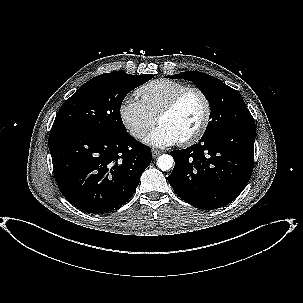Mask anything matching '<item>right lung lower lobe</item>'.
Returning a JSON list of instances; mask_svg holds the SVG:
<instances>
[{"label":"right lung lower lobe","mask_w":303,"mask_h":303,"mask_svg":"<svg viewBox=\"0 0 303 303\" xmlns=\"http://www.w3.org/2000/svg\"><path fill=\"white\" fill-rule=\"evenodd\" d=\"M49 149L63 196L94 214L108 213L126 203L152 158L151 149L127 132L50 133Z\"/></svg>","instance_id":"98d812e1"}]
</instances>
